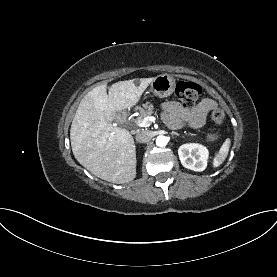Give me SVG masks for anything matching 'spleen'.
<instances>
[{"instance_id": "1", "label": "spleen", "mask_w": 277, "mask_h": 277, "mask_svg": "<svg viewBox=\"0 0 277 277\" xmlns=\"http://www.w3.org/2000/svg\"><path fill=\"white\" fill-rule=\"evenodd\" d=\"M230 144H231V141L229 138H227L222 144V146L220 147L219 152L216 154L213 160L214 167L220 166L225 161L229 152Z\"/></svg>"}]
</instances>
